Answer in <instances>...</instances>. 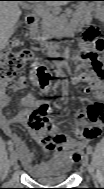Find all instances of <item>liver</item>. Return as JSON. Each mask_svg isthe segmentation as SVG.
<instances>
[{
	"mask_svg": "<svg viewBox=\"0 0 104 189\" xmlns=\"http://www.w3.org/2000/svg\"><path fill=\"white\" fill-rule=\"evenodd\" d=\"M47 5L61 6L67 1H49ZM18 1H1L0 3V48L3 49L13 35L15 25L21 15Z\"/></svg>",
	"mask_w": 104,
	"mask_h": 189,
	"instance_id": "liver-1",
	"label": "liver"
}]
</instances>
